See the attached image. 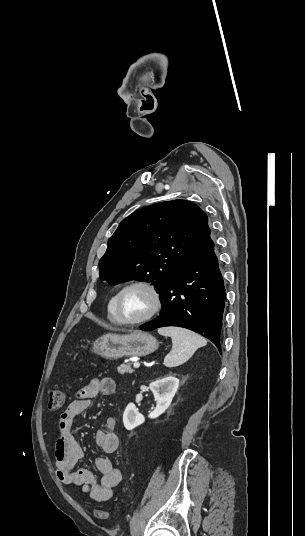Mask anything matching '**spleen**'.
Segmentation results:
<instances>
[{
	"instance_id": "spleen-1",
	"label": "spleen",
	"mask_w": 305,
	"mask_h": 536,
	"mask_svg": "<svg viewBox=\"0 0 305 536\" xmlns=\"http://www.w3.org/2000/svg\"><path fill=\"white\" fill-rule=\"evenodd\" d=\"M158 334L170 336L173 344L172 352L164 358L163 364L166 368L182 366L192 358L198 348L207 344L205 338L185 328H159Z\"/></svg>"
}]
</instances>
